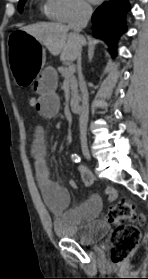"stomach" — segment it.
I'll use <instances>...</instances> for the list:
<instances>
[{
  "label": "stomach",
  "instance_id": "obj_1",
  "mask_svg": "<svg viewBox=\"0 0 148 279\" xmlns=\"http://www.w3.org/2000/svg\"><path fill=\"white\" fill-rule=\"evenodd\" d=\"M6 39L10 69L15 78V87H32V81L38 72H43L45 49L27 30H12Z\"/></svg>",
  "mask_w": 148,
  "mask_h": 279
}]
</instances>
